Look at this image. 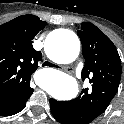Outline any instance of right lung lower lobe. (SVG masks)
I'll list each match as a JSON object with an SVG mask.
<instances>
[{"mask_svg":"<svg viewBox=\"0 0 124 124\" xmlns=\"http://www.w3.org/2000/svg\"><path fill=\"white\" fill-rule=\"evenodd\" d=\"M28 98L17 105L9 106V107H1L0 108V116H11V115H14V114L20 112L26 106V101L28 100Z\"/></svg>","mask_w":124,"mask_h":124,"instance_id":"right-lung-lower-lobe-1","label":"right lung lower lobe"}]
</instances>
